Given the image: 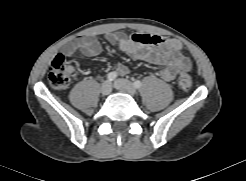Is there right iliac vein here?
Segmentation results:
<instances>
[{"label":"right iliac vein","mask_w":246,"mask_h":181,"mask_svg":"<svg viewBox=\"0 0 246 181\" xmlns=\"http://www.w3.org/2000/svg\"><path fill=\"white\" fill-rule=\"evenodd\" d=\"M112 86L109 81H105L102 83L100 92L102 95H108L111 92Z\"/></svg>","instance_id":"obj_1"}]
</instances>
